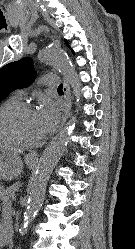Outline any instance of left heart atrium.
I'll return each mask as SVG.
<instances>
[{
	"label": "left heart atrium",
	"instance_id": "39dd6f15",
	"mask_svg": "<svg viewBox=\"0 0 135 249\" xmlns=\"http://www.w3.org/2000/svg\"><path fill=\"white\" fill-rule=\"evenodd\" d=\"M61 108L51 99H44L36 111V117L42 134L50 132L60 119Z\"/></svg>",
	"mask_w": 135,
	"mask_h": 249
}]
</instances>
